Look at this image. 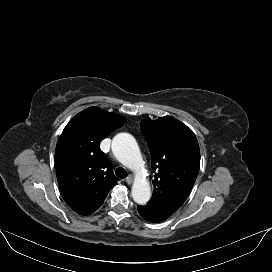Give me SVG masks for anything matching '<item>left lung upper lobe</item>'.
Returning <instances> with one entry per match:
<instances>
[{
	"mask_svg": "<svg viewBox=\"0 0 272 272\" xmlns=\"http://www.w3.org/2000/svg\"><path fill=\"white\" fill-rule=\"evenodd\" d=\"M151 157L154 191L146 206L170 217L188 197L200 166L197 139L189 127L171 116L140 124Z\"/></svg>",
	"mask_w": 272,
	"mask_h": 272,
	"instance_id": "obj_1",
	"label": "left lung upper lobe"
}]
</instances>
